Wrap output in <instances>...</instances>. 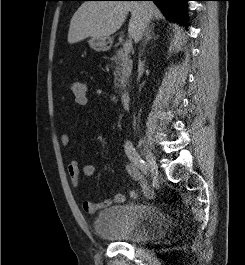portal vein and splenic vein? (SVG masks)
Segmentation results:
<instances>
[{"mask_svg": "<svg viewBox=\"0 0 245 265\" xmlns=\"http://www.w3.org/2000/svg\"><path fill=\"white\" fill-rule=\"evenodd\" d=\"M123 50L125 53H130L132 50V41L127 40L123 45Z\"/></svg>", "mask_w": 245, "mask_h": 265, "instance_id": "portal-vein-and-splenic-vein-1", "label": "portal vein and splenic vein"}]
</instances>
